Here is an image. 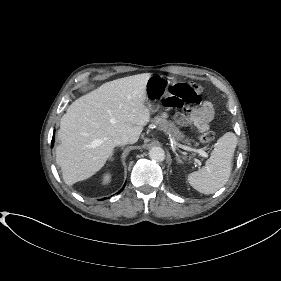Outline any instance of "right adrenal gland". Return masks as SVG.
Masks as SVG:
<instances>
[{
	"label": "right adrenal gland",
	"mask_w": 281,
	"mask_h": 281,
	"mask_svg": "<svg viewBox=\"0 0 281 281\" xmlns=\"http://www.w3.org/2000/svg\"><path fill=\"white\" fill-rule=\"evenodd\" d=\"M112 155H113V153H112L111 156H110V160H112Z\"/></svg>",
	"instance_id": "2a0ac1e0"
}]
</instances>
